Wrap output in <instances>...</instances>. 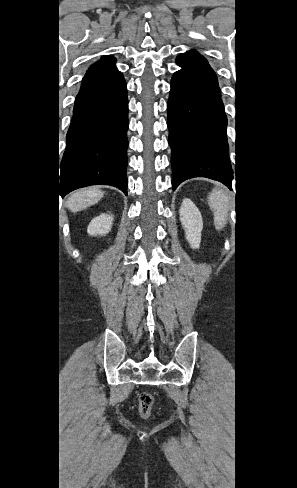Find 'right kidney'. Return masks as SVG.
I'll return each instance as SVG.
<instances>
[{"label": "right kidney", "mask_w": 297, "mask_h": 488, "mask_svg": "<svg viewBox=\"0 0 297 488\" xmlns=\"http://www.w3.org/2000/svg\"><path fill=\"white\" fill-rule=\"evenodd\" d=\"M112 222V215L102 213L91 220L88 225L87 232L91 236H103L111 230Z\"/></svg>", "instance_id": "right-kidney-1"}]
</instances>
